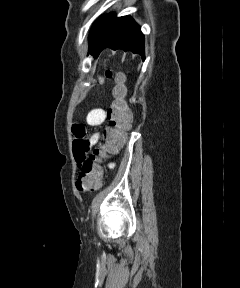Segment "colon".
Returning a JSON list of instances; mask_svg holds the SVG:
<instances>
[{
	"label": "colon",
	"mask_w": 240,
	"mask_h": 288,
	"mask_svg": "<svg viewBox=\"0 0 240 288\" xmlns=\"http://www.w3.org/2000/svg\"><path fill=\"white\" fill-rule=\"evenodd\" d=\"M122 81L121 77H118ZM123 88L117 87L115 90V100L107 112L109 127L104 131L105 144L94 151L88 159L81 165V172L76 181V187L80 192L90 193L100 187L101 180V160L108 153L115 151L124 139V131L132 122V114L123 99Z\"/></svg>",
	"instance_id": "obj_1"
}]
</instances>
